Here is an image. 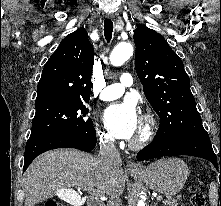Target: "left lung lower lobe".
Here are the masks:
<instances>
[{
    "mask_svg": "<svg viewBox=\"0 0 221 206\" xmlns=\"http://www.w3.org/2000/svg\"><path fill=\"white\" fill-rule=\"evenodd\" d=\"M175 155L201 157L209 160L217 169L219 166L210 138L202 135H185L170 139L153 140V142L138 152L137 159L149 160L157 157Z\"/></svg>",
    "mask_w": 221,
    "mask_h": 206,
    "instance_id": "obj_1",
    "label": "left lung lower lobe"
}]
</instances>
